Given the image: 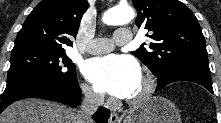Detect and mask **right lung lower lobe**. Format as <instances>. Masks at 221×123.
Masks as SVG:
<instances>
[{"label":"right lung lower lobe","mask_w":221,"mask_h":123,"mask_svg":"<svg viewBox=\"0 0 221 123\" xmlns=\"http://www.w3.org/2000/svg\"><path fill=\"white\" fill-rule=\"evenodd\" d=\"M25 98H41L76 107L82 98L76 79L71 82L44 83L39 79H28L7 84L0 104V113L11 103ZM110 112L100 107L93 115L97 123H107Z\"/></svg>","instance_id":"obj_1"}]
</instances>
